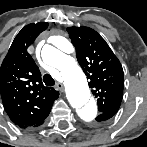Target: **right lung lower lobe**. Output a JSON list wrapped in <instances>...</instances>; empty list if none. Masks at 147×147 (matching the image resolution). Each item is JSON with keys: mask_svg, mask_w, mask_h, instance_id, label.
<instances>
[{"mask_svg": "<svg viewBox=\"0 0 147 147\" xmlns=\"http://www.w3.org/2000/svg\"><path fill=\"white\" fill-rule=\"evenodd\" d=\"M43 123H44V121L39 123V124H37V125H35V126H33V127H38V126L42 125Z\"/></svg>", "mask_w": 147, "mask_h": 147, "instance_id": "98d812e1", "label": "right lung lower lobe"}]
</instances>
